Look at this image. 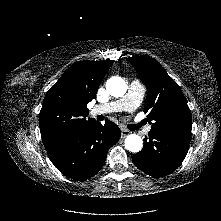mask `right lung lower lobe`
Returning <instances> with one entry per match:
<instances>
[{"label": "right lung lower lobe", "mask_w": 221, "mask_h": 221, "mask_svg": "<svg viewBox=\"0 0 221 221\" xmlns=\"http://www.w3.org/2000/svg\"><path fill=\"white\" fill-rule=\"evenodd\" d=\"M121 136L119 127L107 120L104 126L92 122L66 143L48 152L54 166L75 180H86L97 174L105 163L109 148Z\"/></svg>", "instance_id": "1"}]
</instances>
